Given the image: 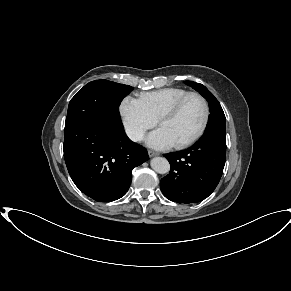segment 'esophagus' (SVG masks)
Masks as SVG:
<instances>
[{
    "label": "esophagus",
    "instance_id": "1",
    "mask_svg": "<svg viewBox=\"0 0 291 291\" xmlns=\"http://www.w3.org/2000/svg\"><path fill=\"white\" fill-rule=\"evenodd\" d=\"M148 154H149L150 157H154V156H158L159 155L158 152L152 151V150H148Z\"/></svg>",
    "mask_w": 291,
    "mask_h": 291
}]
</instances>
